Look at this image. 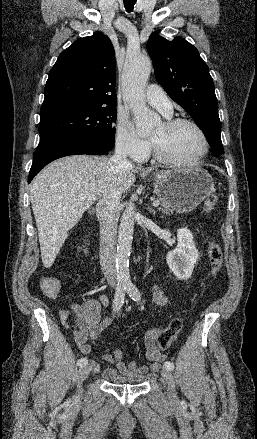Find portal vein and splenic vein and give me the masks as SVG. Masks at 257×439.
<instances>
[{"instance_id":"18ae733b","label":"portal vein and splenic vein","mask_w":257,"mask_h":439,"mask_svg":"<svg viewBox=\"0 0 257 439\" xmlns=\"http://www.w3.org/2000/svg\"><path fill=\"white\" fill-rule=\"evenodd\" d=\"M78 200H91V201L93 200V201H95V200H96V197L93 196V195H91V194H80V195L78 196ZM159 204H160V202H159L158 200L153 201V203H152V205H153L154 207L159 206Z\"/></svg>"}]
</instances>
